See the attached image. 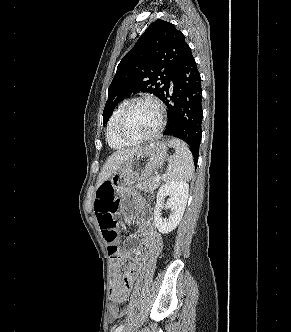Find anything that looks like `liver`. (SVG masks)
<instances>
[{
  "instance_id": "1",
  "label": "liver",
  "mask_w": 291,
  "mask_h": 332,
  "mask_svg": "<svg viewBox=\"0 0 291 332\" xmlns=\"http://www.w3.org/2000/svg\"><path fill=\"white\" fill-rule=\"evenodd\" d=\"M141 147H134L114 152L105 162L97 180V187L107 181L112 174L119 170L121 165Z\"/></svg>"
}]
</instances>
